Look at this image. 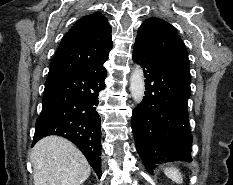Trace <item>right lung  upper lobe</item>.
<instances>
[{
    "label": "right lung upper lobe",
    "mask_w": 233,
    "mask_h": 185,
    "mask_svg": "<svg viewBox=\"0 0 233 185\" xmlns=\"http://www.w3.org/2000/svg\"><path fill=\"white\" fill-rule=\"evenodd\" d=\"M111 31L100 13L79 19L64 35L48 75L103 66L113 48Z\"/></svg>",
    "instance_id": "cb5924a9"
}]
</instances>
